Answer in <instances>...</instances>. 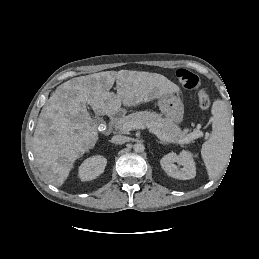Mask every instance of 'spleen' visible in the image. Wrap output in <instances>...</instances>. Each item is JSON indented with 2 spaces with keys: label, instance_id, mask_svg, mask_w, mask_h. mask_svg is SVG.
Instances as JSON below:
<instances>
[{
  "label": "spleen",
  "instance_id": "obj_1",
  "mask_svg": "<svg viewBox=\"0 0 259 259\" xmlns=\"http://www.w3.org/2000/svg\"><path fill=\"white\" fill-rule=\"evenodd\" d=\"M211 112L212 134L202 145L201 156L209 178L214 179L228 163L232 150L233 128L227 105L223 100L214 101Z\"/></svg>",
  "mask_w": 259,
  "mask_h": 259
}]
</instances>
